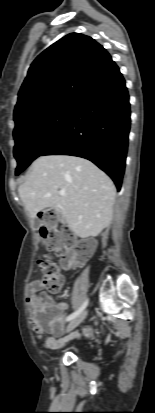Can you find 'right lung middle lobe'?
I'll return each mask as SVG.
<instances>
[{"instance_id": "right-lung-middle-lobe-1", "label": "right lung middle lobe", "mask_w": 155, "mask_h": 413, "mask_svg": "<svg viewBox=\"0 0 155 413\" xmlns=\"http://www.w3.org/2000/svg\"><path fill=\"white\" fill-rule=\"evenodd\" d=\"M76 104H65L21 124L14 129V157L18 162L16 175L25 170L64 131Z\"/></svg>"}]
</instances>
